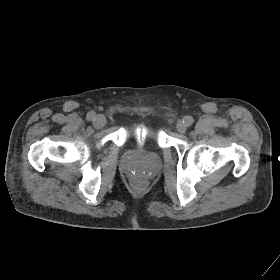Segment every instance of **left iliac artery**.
Masks as SVG:
<instances>
[{
	"mask_svg": "<svg viewBox=\"0 0 280 280\" xmlns=\"http://www.w3.org/2000/svg\"><path fill=\"white\" fill-rule=\"evenodd\" d=\"M193 121H194L193 118L190 116H185L183 119V122H185L187 126H190L193 123Z\"/></svg>",
	"mask_w": 280,
	"mask_h": 280,
	"instance_id": "1",
	"label": "left iliac artery"
}]
</instances>
